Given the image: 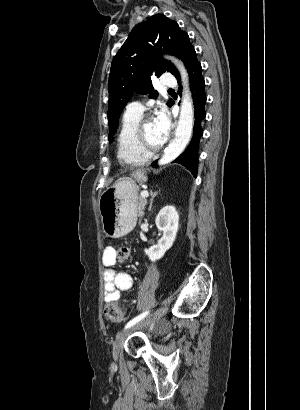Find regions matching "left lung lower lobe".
Instances as JSON below:
<instances>
[{
	"label": "left lung lower lobe",
	"instance_id": "0a47b994",
	"mask_svg": "<svg viewBox=\"0 0 300 410\" xmlns=\"http://www.w3.org/2000/svg\"><path fill=\"white\" fill-rule=\"evenodd\" d=\"M187 70L190 77V89L192 91V98L195 109L193 137L186 150L178 158H176L174 162L185 166L196 177L198 168V146L200 138L203 135L201 123L206 116L205 82L202 76L201 64L197 60L196 53L191 57ZM177 80L180 84V77L177 78ZM179 91H181V86L179 87ZM152 165L156 166V162H154Z\"/></svg>",
	"mask_w": 300,
	"mask_h": 410
}]
</instances>
